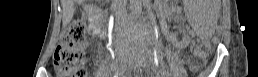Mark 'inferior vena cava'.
<instances>
[{"label":"inferior vena cava","mask_w":258,"mask_h":77,"mask_svg":"<svg viewBox=\"0 0 258 77\" xmlns=\"http://www.w3.org/2000/svg\"><path fill=\"white\" fill-rule=\"evenodd\" d=\"M116 5L114 11L118 22H122L127 18V10L125 8V0H115Z\"/></svg>","instance_id":"inferior-vena-cava-1"}]
</instances>
